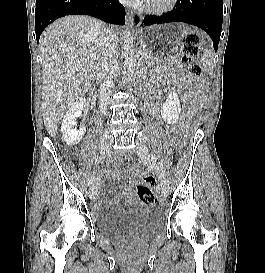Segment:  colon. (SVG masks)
Instances as JSON below:
<instances>
[{
  "instance_id": "colon-1",
  "label": "colon",
  "mask_w": 265,
  "mask_h": 273,
  "mask_svg": "<svg viewBox=\"0 0 265 273\" xmlns=\"http://www.w3.org/2000/svg\"><path fill=\"white\" fill-rule=\"evenodd\" d=\"M200 50V37L196 33H189L184 37L182 46V61L195 75H201V67L195 63V58L198 56ZM133 176H137L136 170H130ZM137 195L139 199L145 204H153L157 200L156 191L147 183L139 184L137 187Z\"/></svg>"
}]
</instances>
